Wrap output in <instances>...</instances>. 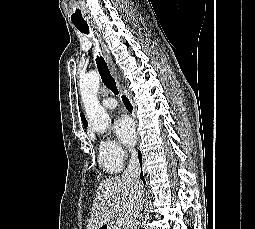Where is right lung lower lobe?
<instances>
[{
  "mask_svg": "<svg viewBox=\"0 0 255 229\" xmlns=\"http://www.w3.org/2000/svg\"><path fill=\"white\" fill-rule=\"evenodd\" d=\"M122 99H123V102H124L126 108L131 112L132 106H131V104L129 103L128 99H127L125 96H123ZM138 157H139V161H140V163H141L142 156H141V153H140V152H139V154H138ZM140 177H141L142 181L145 182L142 173H141Z\"/></svg>",
  "mask_w": 255,
  "mask_h": 229,
  "instance_id": "right-lung-lower-lobe-1",
  "label": "right lung lower lobe"
}]
</instances>
